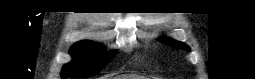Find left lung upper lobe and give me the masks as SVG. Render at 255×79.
<instances>
[{
    "mask_svg": "<svg viewBox=\"0 0 255 79\" xmlns=\"http://www.w3.org/2000/svg\"><path fill=\"white\" fill-rule=\"evenodd\" d=\"M160 41L163 42V43H166L168 45L175 46V47H178V48H181V49H184V50H188V51L190 50L185 44L174 41V40L163 39V40H160Z\"/></svg>",
    "mask_w": 255,
    "mask_h": 79,
    "instance_id": "5c2ea615",
    "label": "left lung upper lobe"
}]
</instances>
